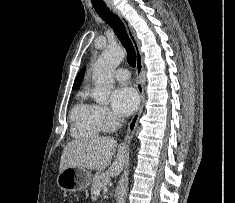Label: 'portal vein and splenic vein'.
I'll use <instances>...</instances> for the list:
<instances>
[{"mask_svg":"<svg viewBox=\"0 0 235 203\" xmlns=\"http://www.w3.org/2000/svg\"><path fill=\"white\" fill-rule=\"evenodd\" d=\"M100 195V190H97L96 192H95V197H98Z\"/></svg>","mask_w":235,"mask_h":203,"instance_id":"18ae733b","label":"portal vein and splenic vein"}]
</instances>
